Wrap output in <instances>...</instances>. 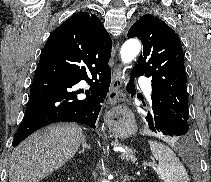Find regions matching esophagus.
I'll list each match as a JSON object with an SVG mask.
<instances>
[{"label": "esophagus", "instance_id": "obj_1", "mask_svg": "<svg viewBox=\"0 0 211 182\" xmlns=\"http://www.w3.org/2000/svg\"><path fill=\"white\" fill-rule=\"evenodd\" d=\"M123 79L124 71L121 70V66L119 65L116 69H114L112 74L110 91L108 93V101L111 105H116L122 102L126 97L124 92L121 90Z\"/></svg>", "mask_w": 211, "mask_h": 182}]
</instances>
